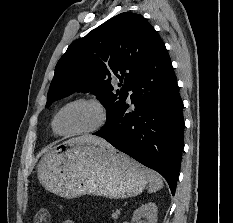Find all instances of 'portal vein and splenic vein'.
Segmentation results:
<instances>
[{"instance_id": "portal-vein-and-splenic-vein-1", "label": "portal vein and splenic vein", "mask_w": 233, "mask_h": 223, "mask_svg": "<svg viewBox=\"0 0 233 223\" xmlns=\"http://www.w3.org/2000/svg\"><path fill=\"white\" fill-rule=\"evenodd\" d=\"M112 217H118V213H112Z\"/></svg>"}]
</instances>
